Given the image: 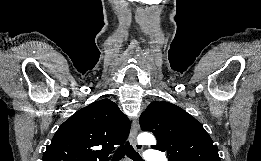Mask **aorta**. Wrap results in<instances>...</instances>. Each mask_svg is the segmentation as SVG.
Listing matches in <instances>:
<instances>
[{
    "instance_id": "obj_1",
    "label": "aorta",
    "mask_w": 261,
    "mask_h": 161,
    "mask_svg": "<svg viewBox=\"0 0 261 161\" xmlns=\"http://www.w3.org/2000/svg\"><path fill=\"white\" fill-rule=\"evenodd\" d=\"M155 142L154 136L150 133H141L138 136V143L142 145H153Z\"/></svg>"
}]
</instances>
